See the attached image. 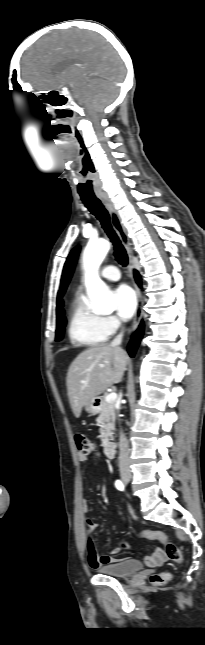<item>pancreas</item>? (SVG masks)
I'll return each mask as SVG.
<instances>
[{"label": "pancreas", "mask_w": 205, "mask_h": 645, "mask_svg": "<svg viewBox=\"0 0 205 645\" xmlns=\"http://www.w3.org/2000/svg\"><path fill=\"white\" fill-rule=\"evenodd\" d=\"M97 421L101 427L100 439L103 444H106L113 439L115 429V403L106 401V397L101 400Z\"/></svg>", "instance_id": "cf45deb5"}]
</instances>
